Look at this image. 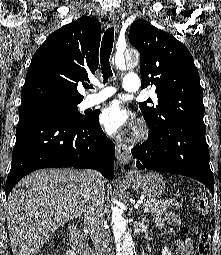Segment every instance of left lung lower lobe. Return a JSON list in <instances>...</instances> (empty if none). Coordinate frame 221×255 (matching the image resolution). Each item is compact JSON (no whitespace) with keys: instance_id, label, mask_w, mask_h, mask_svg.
I'll list each match as a JSON object with an SVG mask.
<instances>
[{"instance_id":"left-lung-lower-lobe-1","label":"left lung lower lobe","mask_w":221,"mask_h":255,"mask_svg":"<svg viewBox=\"0 0 221 255\" xmlns=\"http://www.w3.org/2000/svg\"><path fill=\"white\" fill-rule=\"evenodd\" d=\"M206 129L176 123L167 129L150 130L148 139L131 150L139 170L150 169L194 178L214 193L209 166Z\"/></svg>"}]
</instances>
